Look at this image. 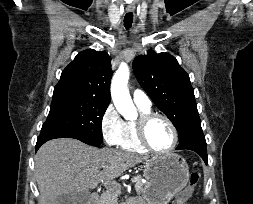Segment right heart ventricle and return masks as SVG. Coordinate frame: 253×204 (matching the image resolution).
Returning a JSON list of instances; mask_svg holds the SVG:
<instances>
[{
    "instance_id": "e07e8e85",
    "label": "right heart ventricle",
    "mask_w": 253,
    "mask_h": 204,
    "mask_svg": "<svg viewBox=\"0 0 253 204\" xmlns=\"http://www.w3.org/2000/svg\"><path fill=\"white\" fill-rule=\"evenodd\" d=\"M138 109L141 115L150 113V109H143L140 107H138ZM119 146L122 150L135 154H146L148 152L138 139L136 122L134 121L125 122L124 134Z\"/></svg>"
}]
</instances>
